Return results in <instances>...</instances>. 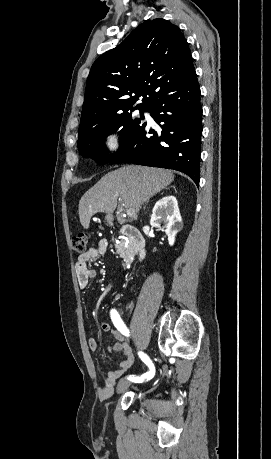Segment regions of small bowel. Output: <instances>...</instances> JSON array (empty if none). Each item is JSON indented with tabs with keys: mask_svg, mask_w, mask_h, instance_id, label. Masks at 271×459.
I'll return each mask as SVG.
<instances>
[{
	"mask_svg": "<svg viewBox=\"0 0 271 459\" xmlns=\"http://www.w3.org/2000/svg\"><path fill=\"white\" fill-rule=\"evenodd\" d=\"M108 240L100 239L96 246L89 248L86 252L78 257L75 265L77 281L81 289L88 286L90 279L94 278L96 271L89 267V262L106 254L108 251ZM101 329L105 332L111 331L115 342L109 347V351L120 352L124 355L125 359L119 364L117 368L107 373L104 384L98 389L100 398H107L111 396L114 391L117 380L122 377L132 366L134 362V355L126 336L123 335L118 329L112 330L109 322H103ZM88 346L91 351L98 349L96 339L89 338Z\"/></svg>",
	"mask_w": 271,
	"mask_h": 459,
	"instance_id": "small-bowel-1",
	"label": "small bowel"
}]
</instances>
